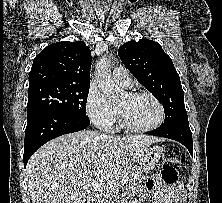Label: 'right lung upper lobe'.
Returning <instances> with one entry per match:
<instances>
[{
    "mask_svg": "<svg viewBox=\"0 0 222 203\" xmlns=\"http://www.w3.org/2000/svg\"><path fill=\"white\" fill-rule=\"evenodd\" d=\"M91 51L82 41H62L34 59L28 90L57 85H90Z\"/></svg>",
    "mask_w": 222,
    "mask_h": 203,
    "instance_id": "right-lung-upper-lobe-1",
    "label": "right lung upper lobe"
}]
</instances>
